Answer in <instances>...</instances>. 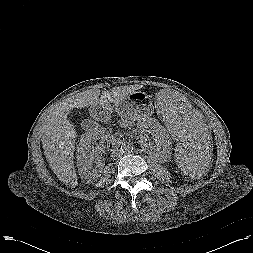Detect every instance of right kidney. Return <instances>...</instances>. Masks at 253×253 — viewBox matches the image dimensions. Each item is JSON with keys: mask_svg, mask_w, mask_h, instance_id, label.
<instances>
[{"mask_svg": "<svg viewBox=\"0 0 253 253\" xmlns=\"http://www.w3.org/2000/svg\"><path fill=\"white\" fill-rule=\"evenodd\" d=\"M108 146V137L103 134L101 129L91 130L81 135L77 146L76 158L79 175L84 182L92 183L101 176V170L104 166L102 153ZM94 163L97 164L95 169L93 168ZM100 164L101 167L97 169Z\"/></svg>", "mask_w": 253, "mask_h": 253, "instance_id": "obj_1", "label": "right kidney"}]
</instances>
